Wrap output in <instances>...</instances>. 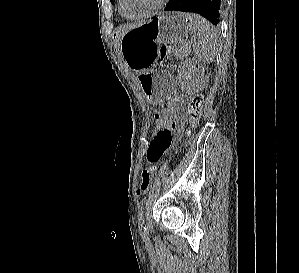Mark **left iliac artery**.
Returning <instances> with one entry per match:
<instances>
[{"label": "left iliac artery", "instance_id": "left-iliac-artery-1", "mask_svg": "<svg viewBox=\"0 0 299 273\" xmlns=\"http://www.w3.org/2000/svg\"><path fill=\"white\" fill-rule=\"evenodd\" d=\"M138 225H139V230L141 234H146L147 228L144 222V213H143V208L140 209L138 213Z\"/></svg>", "mask_w": 299, "mask_h": 273}]
</instances>
